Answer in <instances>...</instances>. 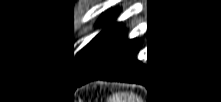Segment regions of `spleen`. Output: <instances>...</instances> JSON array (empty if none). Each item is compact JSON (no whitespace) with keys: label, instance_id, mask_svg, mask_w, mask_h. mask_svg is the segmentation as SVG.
Instances as JSON below:
<instances>
[{"label":"spleen","instance_id":"obj_1","mask_svg":"<svg viewBox=\"0 0 221 102\" xmlns=\"http://www.w3.org/2000/svg\"><path fill=\"white\" fill-rule=\"evenodd\" d=\"M135 95L133 93L118 92L109 98V102H134Z\"/></svg>","mask_w":221,"mask_h":102}]
</instances>
